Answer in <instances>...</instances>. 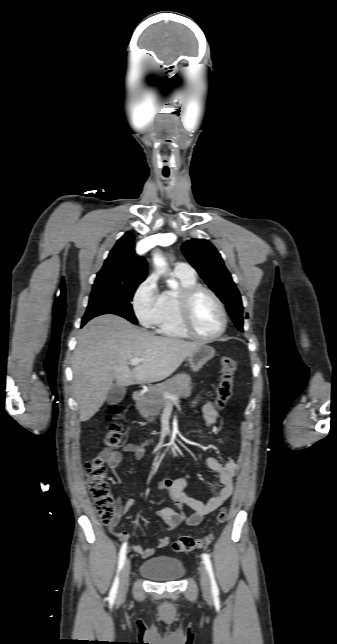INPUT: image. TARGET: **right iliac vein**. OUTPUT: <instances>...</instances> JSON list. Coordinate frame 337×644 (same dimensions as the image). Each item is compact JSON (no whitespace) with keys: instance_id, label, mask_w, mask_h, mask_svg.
<instances>
[{"instance_id":"1","label":"right iliac vein","mask_w":337,"mask_h":644,"mask_svg":"<svg viewBox=\"0 0 337 644\" xmlns=\"http://www.w3.org/2000/svg\"><path fill=\"white\" fill-rule=\"evenodd\" d=\"M130 560L127 559L126 562L124 563L121 576H120V584H119V589H118V597L123 598L128 590V585H129V574H130Z\"/></svg>"}]
</instances>
